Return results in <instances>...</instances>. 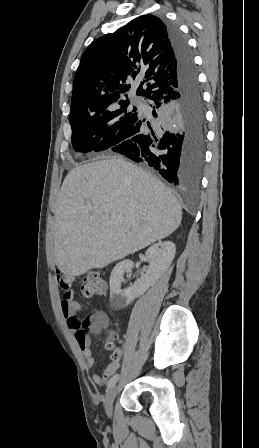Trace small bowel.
Returning a JSON list of instances; mask_svg holds the SVG:
<instances>
[{"label": "small bowel", "mask_w": 259, "mask_h": 448, "mask_svg": "<svg viewBox=\"0 0 259 448\" xmlns=\"http://www.w3.org/2000/svg\"><path fill=\"white\" fill-rule=\"evenodd\" d=\"M73 281V276L62 273L57 275L58 285L63 291L61 310L67 326L75 332V337L84 358L86 368L91 369L95 365V358L91 351L90 338L81 330L82 323L77 317V313L81 310V304L75 299V291L70 288ZM115 338L116 334L110 333L106 341L112 342ZM122 354L123 352L120 348L113 352L111 362L101 373H94L92 375V381L97 385H104L107 380L119 369Z\"/></svg>", "instance_id": "1"}]
</instances>
